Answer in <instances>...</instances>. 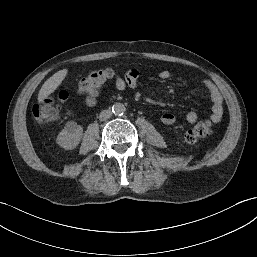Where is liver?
<instances>
[{
  "label": "liver",
  "instance_id": "obj_1",
  "mask_svg": "<svg viewBox=\"0 0 257 257\" xmlns=\"http://www.w3.org/2000/svg\"><path fill=\"white\" fill-rule=\"evenodd\" d=\"M68 70L63 69L58 72H56L54 75H52L48 80L45 81V83L42 85L39 93H38V102L41 103L43 100L53 93L59 85L62 83V81L65 79L67 75Z\"/></svg>",
  "mask_w": 257,
  "mask_h": 257
}]
</instances>
